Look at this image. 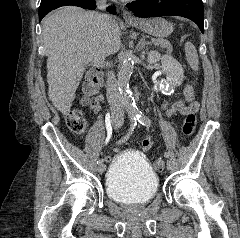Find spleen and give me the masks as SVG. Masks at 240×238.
Returning <instances> with one entry per match:
<instances>
[{
	"instance_id": "spleen-1",
	"label": "spleen",
	"mask_w": 240,
	"mask_h": 238,
	"mask_svg": "<svg viewBox=\"0 0 240 238\" xmlns=\"http://www.w3.org/2000/svg\"><path fill=\"white\" fill-rule=\"evenodd\" d=\"M185 54L187 62L189 63L192 70L197 71L199 67L198 54L195 46L191 42H186Z\"/></svg>"
}]
</instances>
